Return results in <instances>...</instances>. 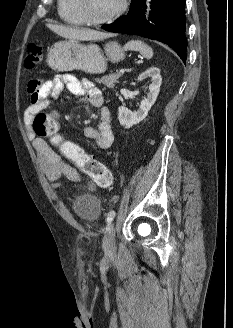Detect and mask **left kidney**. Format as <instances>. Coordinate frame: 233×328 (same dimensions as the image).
Masks as SVG:
<instances>
[{"label": "left kidney", "mask_w": 233, "mask_h": 328, "mask_svg": "<svg viewBox=\"0 0 233 328\" xmlns=\"http://www.w3.org/2000/svg\"><path fill=\"white\" fill-rule=\"evenodd\" d=\"M146 78H151L149 93L147 94V98L141 101L139 109L135 112L130 111L125 106H120L118 109L119 122L126 129L131 128L133 125L140 123L146 118L149 110L154 105L159 94V89L162 82L160 69L157 67L149 68L139 75L138 81H142Z\"/></svg>", "instance_id": "1"}]
</instances>
